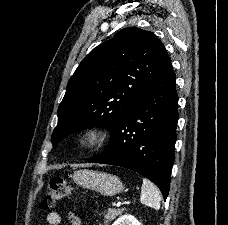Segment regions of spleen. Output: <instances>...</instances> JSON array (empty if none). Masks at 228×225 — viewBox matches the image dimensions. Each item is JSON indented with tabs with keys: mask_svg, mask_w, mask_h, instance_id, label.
<instances>
[{
	"mask_svg": "<svg viewBox=\"0 0 228 225\" xmlns=\"http://www.w3.org/2000/svg\"><path fill=\"white\" fill-rule=\"evenodd\" d=\"M140 201L143 203V205H146V207H151V209H155V211L160 209L161 193L158 187H155V185L150 183L148 179H143Z\"/></svg>",
	"mask_w": 228,
	"mask_h": 225,
	"instance_id": "spleen-1",
	"label": "spleen"
}]
</instances>
